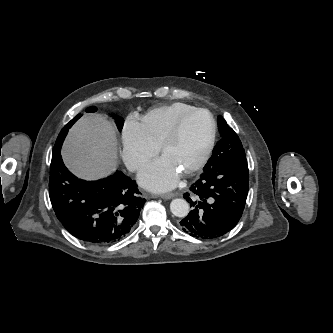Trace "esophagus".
<instances>
[{
    "instance_id": "34e87169",
    "label": "esophagus",
    "mask_w": 333,
    "mask_h": 333,
    "mask_svg": "<svg viewBox=\"0 0 333 333\" xmlns=\"http://www.w3.org/2000/svg\"><path fill=\"white\" fill-rule=\"evenodd\" d=\"M147 197L155 198L156 196L151 195V194H147ZM160 197L163 198V199H171V198L175 197V194L174 193L161 194Z\"/></svg>"
}]
</instances>
